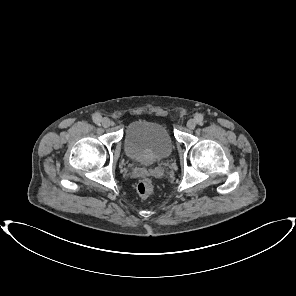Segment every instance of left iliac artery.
Segmentation results:
<instances>
[{"instance_id":"left-iliac-artery-1","label":"left iliac artery","mask_w":296,"mask_h":296,"mask_svg":"<svg viewBox=\"0 0 296 296\" xmlns=\"http://www.w3.org/2000/svg\"><path fill=\"white\" fill-rule=\"evenodd\" d=\"M195 118L199 125H203V116L197 115Z\"/></svg>"}]
</instances>
